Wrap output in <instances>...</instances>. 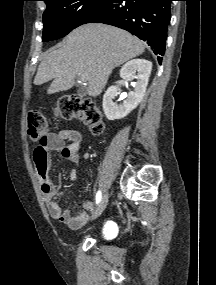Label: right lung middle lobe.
Masks as SVG:
<instances>
[{
  "label": "right lung middle lobe",
  "instance_id": "dd1d6c3e",
  "mask_svg": "<svg viewBox=\"0 0 216 285\" xmlns=\"http://www.w3.org/2000/svg\"><path fill=\"white\" fill-rule=\"evenodd\" d=\"M107 0H50L43 14L42 41L64 37Z\"/></svg>",
  "mask_w": 216,
  "mask_h": 285
}]
</instances>
